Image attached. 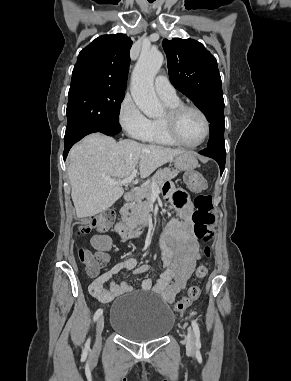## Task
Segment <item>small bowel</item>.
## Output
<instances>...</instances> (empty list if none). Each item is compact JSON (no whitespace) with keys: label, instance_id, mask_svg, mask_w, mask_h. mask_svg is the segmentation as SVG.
<instances>
[{"label":"small bowel","instance_id":"c3829d8e","mask_svg":"<svg viewBox=\"0 0 291 381\" xmlns=\"http://www.w3.org/2000/svg\"><path fill=\"white\" fill-rule=\"evenodd\" d=\"M167 198L174 202L182 221L173 220L162 233L158 247L162 253L161 272L157 282L151 279H143L140 288L143 291H151L160 295L166 302L171 303L176 295L187 285L188 279L195 270L196 262L200 256V244L192 234L190 204H179L178 199L184 196L181 192L167 187ZM94 249L104 252L111 246V239L107 235H95L91 238ZM151 267L147 264L136 265L133 258H126L95 278L89 285V291L101 303H110L115 297L131 292L134 287L126 282L116 283L115 275L122 270L132 271L135 275L149 272Z\"/></svg>","mask_w":291,"mask_h":381}]
</instances>
